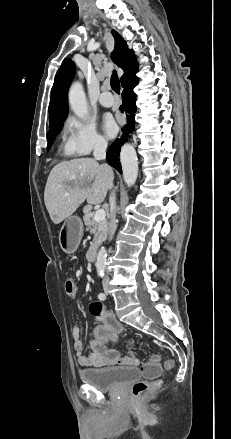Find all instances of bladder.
Segmentation results:
<instances>
[{
    "instance_id": "31cf9c89",
    "label": "bladder",
    "mask_w": 231,
    "mask_h": 439,
    "mask_svg": "<svg viewBox=\"0 0 231 439\" xmlns=\"http://www.w3.org/2000/svg\"><path fill=\"white\" fill-rule=\"evenodd\" d=\"M80 380L100 391H113L140 377L136 367H108L85 369L79 372Z\"/></svg>"
}]
</instances>
